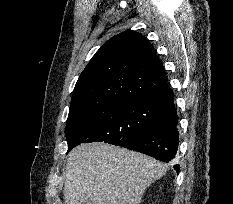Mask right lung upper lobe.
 Segmentation results:
<instances>
[{"instance_id":"1","label":"right lung upper lobe","mask_w":233,"mask_h":204,"mask_svg":"<svg viewBox=\"0 0 233 204\" xmlns=\"http://www.w3.org/2000/svg\"><path fill=\"white\" fill-rule=\"evenodd\" d=\"M168 88L153 46L137 32H122L101 46L78 78L67 125L108 104L154 97Z\"/></svg>"}]
</instances>
